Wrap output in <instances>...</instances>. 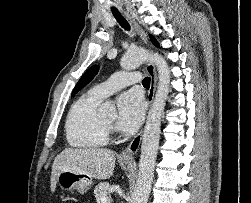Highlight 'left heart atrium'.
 I'll return each mask as SVG.
<instances>
[{
	"label": "left heart atrium",
	"mask_w": 251,
	"mask_h": 203,
	"mask_svg": "<svg viewBox=\"0 0 251 203\" xmlns=\"http://www.w3.org/2000/svg\"><path fill=\"white\" fill-rule=\"evenodd\" d=\"M118 119L117 126L127 132L135 131L142 124L146 104L136 91H129L117 99Z\"/></svg>",
	"instance_id": "39dd6f15"
}]
</instances>
